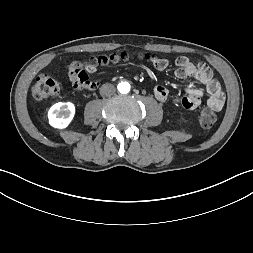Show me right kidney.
Masks as SVG:
<instances>
[{"label": "right kidney", "instance_id": "1", "mask_svg": "<svg viewBox=\"0 0 253 253\" xmlns=\"http://www.w3.org/2000/svg\"><path fill=\"white\" fill-rule=\"evenodd\" d=\"M75 114V106L71 102H58L54 104L49 112L48 119L51 126L59 129L66 128Z\"/></svg>", "mask_w": 253, "mask_h": 253}]
</instances>
